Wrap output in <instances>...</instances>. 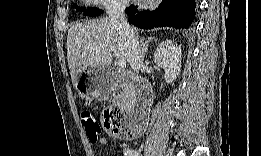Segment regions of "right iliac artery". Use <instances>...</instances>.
<instances>
[{
    "mask_svg": "<svg viewBox=\"0 0 261 156\" xmlns=\"http://www.w3.org/2000/svg\"><path fill=\"white\" fill-rule=\"evenodd\" d=\"M124 154L129 155V156H138L139 155V153L137 151L130 150V149H125Z\"/></svg>",
    "mask_w": 261,
    "mask_h": 156,
    "instance_id": "obj_1",
    "label": "right iliac artery"
}]
</instances>
